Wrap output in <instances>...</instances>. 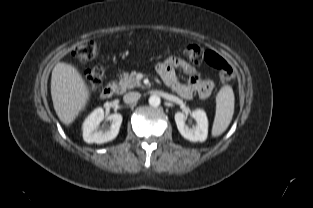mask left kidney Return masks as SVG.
I'll use <instances>...</instances> for the list:
<instances>
[{"mask_svg":"<svg viewBox=\"0 0 313 208\" xmlns=\"http://www.w3.org/2000/svg\"><path fill=\"white\" fill-rule=\"evenodd\" d=\"M191 116L196 120V126L189 128L185 121L187 117L181 112L175 113V122L180 134L192 142H204L208 134V120L206 113L201 110L192 111Z\"/></svg>","mask_w":313,"mask_h":208,"instance_id":"1","label":"left kidney"}]
</instances>
